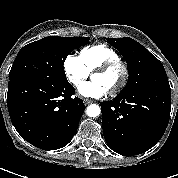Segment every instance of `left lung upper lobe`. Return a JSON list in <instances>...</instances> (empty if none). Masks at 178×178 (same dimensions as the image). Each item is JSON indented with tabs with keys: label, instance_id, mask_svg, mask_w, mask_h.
Segmentation results:
<instances>
[{
	"label": "left lung upper lobe",
	"instance_id": "1",
	"mask_svg": "<svg viewBox=\"0 0 178 178\" xmlns=\"http://www.w3.org/2000/svg\"><path fill=\"white\" fill-rule=\"evenodd\" d=\"M107 42L115 47L127 62L129 78L121 92L141 87L171 90L162 63L144 46L129 37L108 38Z\"/></svg>",
	"mask_w": 178,
	"mask_h": 178
}]
</instances>
